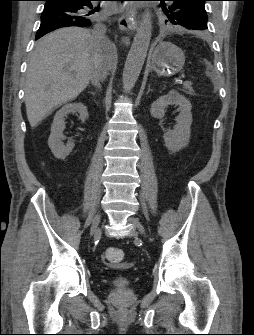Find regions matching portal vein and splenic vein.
<instances>
[{"label": "portal vein and splenic vein", "instance_id": "obj_1", "mask_svg": "<svg viewBox=\"0 0 254 335\" xmlns=\"http://www.w3.org/2000/svg\"><path fill=\"white\" fill-rule=\"evenodd\" d=\"M184 76H182L181 78H178V79H176L175 81L177 82V83H182V78H183Z\"/></svg>", "mask_w": 254, "mask_h": 335}]
</instances>
